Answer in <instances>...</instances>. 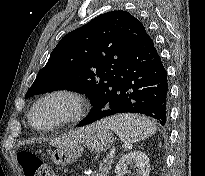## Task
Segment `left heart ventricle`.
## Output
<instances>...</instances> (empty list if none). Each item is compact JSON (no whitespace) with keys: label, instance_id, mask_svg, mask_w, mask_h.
Returning a JSON list of instances; mask_svg holds the SVG:
<instances>
[{"label":"left heart ventricle","instance_id":"left-heart-ventricle-1","mask_svg":"<svg viewBox=\"0 0 205 176\" xmlns=\"http://www.w3.org/2000/svg\"><path fill=\"white\" fill-rule=\"evenodd\" d=\"M69 109L66 102L54 100L38 107L33 115V121L39 126H47L55 122Z\"/></svg>","mask_w":205,"mask_h":176}]
</instances>
